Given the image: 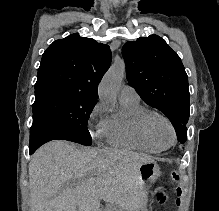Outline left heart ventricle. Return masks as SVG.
<instances>
[{"instance_id":"left-heart-ventricle-1","label":"left heart ventricle","mask_w":219,"mask_h":211,"mask_svg":"<svg viewBox=\"0 0 219 211\" xmlns=\"http://www.w3.org/2000/svg\"><path fill=\"white\" fill-rule=\"evenodd\" d=\"M155 135L162 146H168L173 141V135L170 127L163 121H158L155 124Z\"/></svg>"}]
</instances>
